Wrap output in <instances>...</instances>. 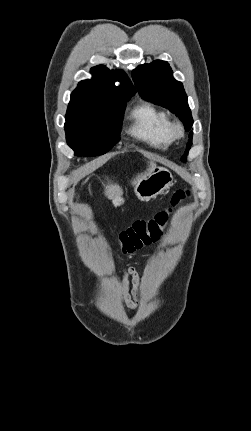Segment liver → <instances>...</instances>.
<instances>
[{
    "mask_svg": "<svg viewBox=\"0 0 251 431\" xmlns=\"http://www.w3.org/2000/svg\"><path fill=\"white\" fill-rule=\"evenodd\" d=\"M156 165L154 162H149V167L147 171H150L152 168H154ZM146 175V172L144 174L138 175L133 181L132 184L135 185L139 179L144 177ZM105 190L104 194L108 199H114L116 197H120L123 194L122 188L118 184H113L109 182L107 185H104Z\"/></svg>",
    "mask_w": 251,
    "mask_h": 431,
    "instance_id": "obj_1",
    "label": "liver"
}]
</instances>
